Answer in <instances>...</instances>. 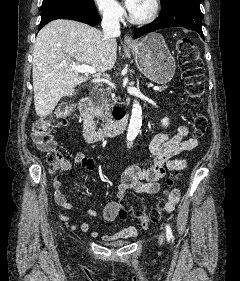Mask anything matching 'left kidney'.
<instances>
[{
	"instance_id": "left-kidney-1",
	"label": "left kidney",
	"mask_w": 240,
	"mask_h": 281,
	"mask_svg": "<svg viewBox=\"0 0 240 281\" xmlns=\"http://www.w3.org/2000/svg\"><path fill=\"white\" fill-rule=\"evenodd\" d=\"M161 122H162V125L165 127L168 126V124H169L168 118H164Z\"/></svg>"
}]
</instances>
